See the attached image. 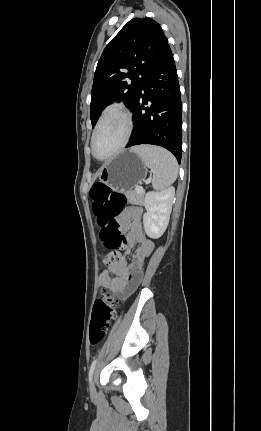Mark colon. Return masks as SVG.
<instances>
[{"mask_svg":"<svg viewBox=\"0 0 261 431\" xmlns=\"http://www.w3.org/2000/svg\"><path fill=\"white\" fill-rule=\"evenodd\" d=\"M89 194L101 227L100 238L108 250L105 255L106 263L118 264L123 259L121 250L125 245V237L116 217L124 209L127 202L126 197L101 182L94 183ZM117 302V299L109 292H105L95 302L89 330L92 345H98L107 335L110 324L116 317Z\"/></svg>","mask_w":261,"mask_h":431,"instance_id":"5ec220e1","label":"colon"}]
</instances>
